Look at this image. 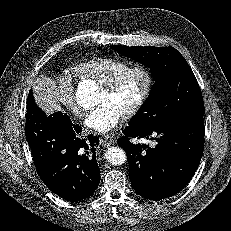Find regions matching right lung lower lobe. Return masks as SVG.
Instances as JSON below:
<instances>
[{
    "label": "right lung lower lobe",
    "mask_w": 231,
    "mask_h": 231,
    "mask_svg": "<svg viewBox=\"0 0 231 231\" xmlns=\"http://www.w3.org/2000/svg\"><path fill=\"white\" fill-rule=\"evenodd\" d=\"M81 129L67 114L46 116L29 92L25 135L35 167L53 193L71 202L89 197L100 182L95 156L99 139L79 138Z\"/></svg>",
    "instance_id": "98d812e1"
}]
</instances>
